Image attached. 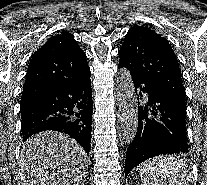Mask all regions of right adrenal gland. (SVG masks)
Segmentation results:
<instances>
[{
    "mask_svg": "<svg viewBox=\"0 0 207 185\" xmlns=\"http://www.w3.org/2000/svg\"><path fill=\"white\" fill-rule=\"evenodd\" d=\"M80 185H87L86 179H84V181H82V183H80Z\"/></svg>",
    "mask_w": 207,
    "mask_h": 185,
    "instance_id": "right-adrenal-gland-1",
    "label": "right adrenal gland"
}]
</instances>
